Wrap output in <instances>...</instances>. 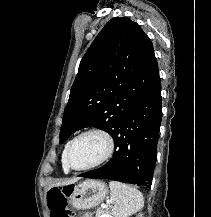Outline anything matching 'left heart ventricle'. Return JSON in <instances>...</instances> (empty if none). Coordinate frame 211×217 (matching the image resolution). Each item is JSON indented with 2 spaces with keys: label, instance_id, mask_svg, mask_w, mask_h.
I'll use <instances>...</instances> for the list:
<instances>
[{
  "label": "left heart ventricle",
  "instance_id": "b2bd125f",
  "mask_svg": "<svg viewBox=\"0 0 211 217\" xmlns=\"http://www.w3.org/2000/svg\"><path fill=\"white\" fill-rule=\"evenodd\" d=\"M107 151V142L99 134L90 133L79 138L73 145L70 160L75 167H84L100 160Z\"/></svg>",
  "mask_w": 211,
  "mask_h": 217
}]
</instances>
